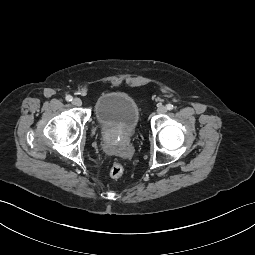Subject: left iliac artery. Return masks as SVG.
<instances>
[{
    "label": "left iliac artery",
    "mask_w": 255,
    "mask_h": 255,
    "mask_svg": "<svg viewBox=\"0 0 255 255\" xmlns=\"http://www.w3.org/2000/svg\"><path fill=\"white\" fill-rule=\"evenodd\" d=\"M166 107L168 110H172L174 106L172 104H167Z\"/></svg>",
    "instance_id": "left-iliac-artery-1"
}]
</instances>
